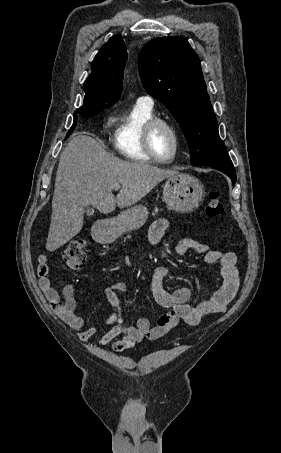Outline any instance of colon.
<instances>
[{
    "label": "colon",
    "mask_w": 281,
    "mask_h": 453,
    "mask_svg": "<svg viewBox=\"0 0 281 453\" xmlns=\"http://www.w3.org/2000/svg\"><path fill=\"white\" fill-rule=\"evenodd\" d=\"M206 213L211 220H219L223 216V199L218 193L210 194L206 198ZM85 239L72 238L67 243V249L62 255L64 262H86L88 253L85 248Z\"/></svg>",
    "instance_id": "5ec220e1"
}]
</instances>
